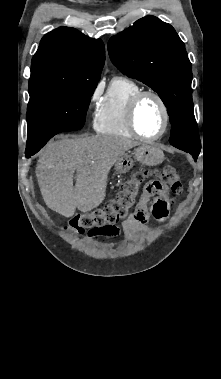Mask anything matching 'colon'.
Instances as JSON below:
<instances>
[{
    "label": "colon",
    "mask_w": 221,
    "mask_h": 379,
    "mask_svg": "<svg viewBox=\"0 0 221 379\" xmlns=\"http://www.w3.org/2000/svg\"><path fill=\"white\" fill-rule=\"evenodd\" d=\"M151 176L154 179L145 185L144 190L162 191L169 188V190H178L179 193L182 190L180 176L172 166H164L154 173L147 170L135 171L123 183L117 198L112 203L92 212L76 214L69 220L65 227L66 231L75 234L87 231L90 234H102L114 229L118 222L129 216L136 204L142 184Z\"/></svg>",
    "instance_id": "1"
}]
</instances>
